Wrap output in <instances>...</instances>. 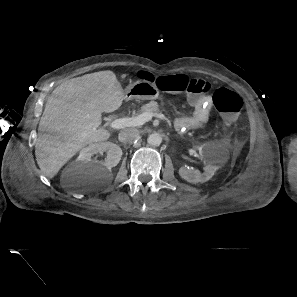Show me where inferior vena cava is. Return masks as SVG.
<instances>
[{"label":"inferior vena cava","mask_w":297,"mask_h":297,"mask_svg":"<svg viewBox=\"0 0 297 297\" xmlns=\"http://www.w3.org/2000/svg\"><path fill=\"white\" fill-rule=\"evenodd\" d=\"M140 135V132L136 128H126L120 131L119 133V140L123 143H131L135 139H137Z\"/></svg>","instance_id":"obj_1"}]
</instances>
